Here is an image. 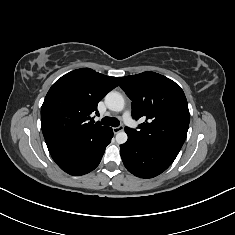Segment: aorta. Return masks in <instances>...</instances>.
Instances as JSON below:
<instances>
[{
  "mask_svg": "<svg viewBox=\"0 0 235 235\" xmlns=\"http://www.w3.org/2000/svg\"><path fill=\"white\" fill-rule=\"evenodd\" d=\"M105 103L110 110L115 112L122 111L125 105L123 96L117 91L109 92L105 97ZM127 139L128 136L124 131H120L116 134V142L118 144L126 143Z\"/></svg>",
  "mask_w": 235,
  "mask_h": 235,
  "instance_id": "762f6f07",
  "label": "aorta"
}]
</instances>
